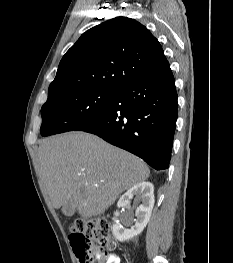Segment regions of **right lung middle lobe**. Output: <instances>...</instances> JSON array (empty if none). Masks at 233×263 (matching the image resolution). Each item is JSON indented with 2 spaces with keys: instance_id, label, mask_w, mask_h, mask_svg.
Wrapping results in <instances>:
<instances>
[{
  "instance_id": "dd1d6c3e",
  "label": "right lung middle lobe",
  "mask_w": 233,
  "mask_h": 263,
  "mask_svg": "<svg viewBox=\"0 0 233 263\" xmlns=\"http://www.w3.org/2000/svg\"><path fill=\"white\" fill-rule=\"evenodd\" d=\"M116 92L114 89L84 88L48 97L41 108V135L74 130L102 113L111 104Z\"/></svg>"
}]
</instances>
